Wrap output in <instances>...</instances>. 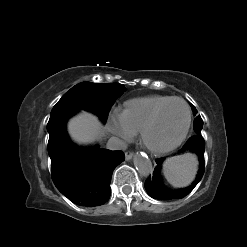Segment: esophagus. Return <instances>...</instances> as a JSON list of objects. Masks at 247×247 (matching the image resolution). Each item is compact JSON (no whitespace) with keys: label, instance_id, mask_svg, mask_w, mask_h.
Masks as SVG:
<instances>
[{"label":"esophagus","instance_id":"1","mask_svg":"<svg viewBox=\"0 0 247 247\" xmlns=\"http://www.w3.org/2000/svg\"><path fill=\"white\" fill-rule=\"evenodd\" d=\"M133 156H134V153L131 152V151H127L125 153V158H126L127 161L131 160Z\"/></svg>","mask_w":247,"mask_h":247}]
</instances>
